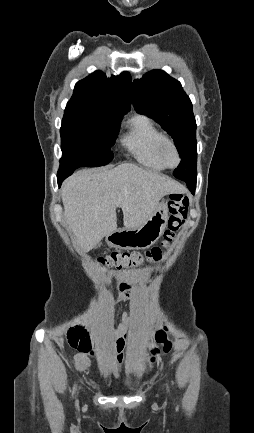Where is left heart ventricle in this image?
<instances>
[{"mask_svg":"<svg viewBox=\"0 0 254 433\" xmlns=\"http://www.w3.org/2000/svg\"><path fill=\"white\" fill-rule=\"evenodd\" d=\"M163 157L168 165L174 166L177 164L176 153L170 145H166L163 148Z\"/></svg>","mask_w":254,"mask_h":433,"instance_id":"b2bd125f","label":"left heart ventricle"}]
</instances>
